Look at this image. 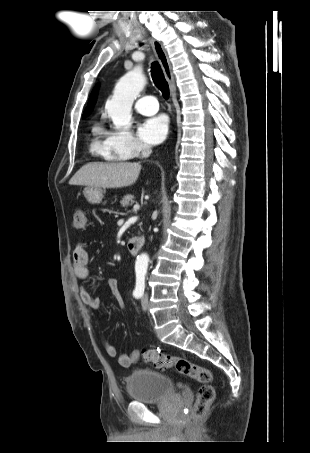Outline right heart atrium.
Returning a JSON list of instances; mask_svg holds the SVG:
<instances>
[{
    "instance_id": "1",
    "label": "right heart atrium",
    "mask_w": 310,
    "mask_h": 453,
    "mask_svg": "<svg viewBox=\"0 0 310 453\" xmlns=\"http://www.w3.org/2000/svg\"><path fill=\"white\" fill-rule=\"evenodd\" d=\"M106 140L112 152L123 158L135 157L146 148V146L127 129L107 132Z\"/></svg>"
}]
</instances>
